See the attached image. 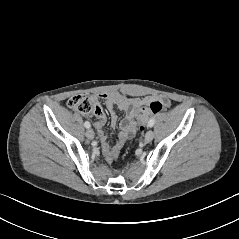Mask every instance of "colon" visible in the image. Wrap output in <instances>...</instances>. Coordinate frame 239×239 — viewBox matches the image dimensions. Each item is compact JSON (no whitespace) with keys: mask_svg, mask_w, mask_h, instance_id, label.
Segmentation results:
<instances>
[{"mask_svg":"<svg viewBox=\"0 0 239 239\" xmlns=\"http://www.w3.org/2000/svg\"><path fill=\"white\" fill-rule=\"evenodd\" d=\"M68 106L74 111L82 114H88L94 110V104L89 97L85 95H75L68 100ZM163 109V104L160 101L153 100L142 106L137 111V121L142 127L152 114H157Z\"/></svg>","mask_w":239,"mask_h":239,"instance_id":"5ec220e1","label":"colon"}]
</instances>
